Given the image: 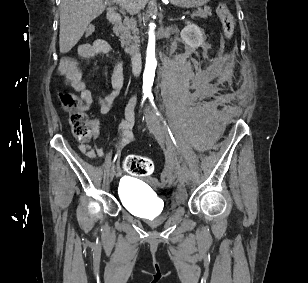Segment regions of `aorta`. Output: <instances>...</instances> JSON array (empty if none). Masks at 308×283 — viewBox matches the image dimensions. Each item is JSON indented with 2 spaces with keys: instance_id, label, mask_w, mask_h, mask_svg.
Masks as SVG:
<instances>
[{
  "instance_id": "aorta-1",
  "label": "aorta",
  "mask_w": 308,
  "mask_h": 283,
  "mask_svg": "<svg viewBox=\"0 0 308 283\" xmlns=\"http://www.w3.org/2000/svg\"><path fill=\"white\" fill-rule=\"evenodd\" d=\"M157 61L155 58V34L154 24H150L149 41L147 47L146 66L143 74V86L151 88L154 81Z\"/></svg>"
}]
</instances>
